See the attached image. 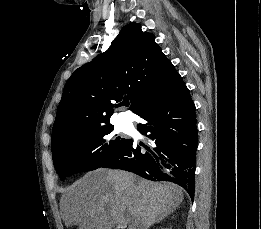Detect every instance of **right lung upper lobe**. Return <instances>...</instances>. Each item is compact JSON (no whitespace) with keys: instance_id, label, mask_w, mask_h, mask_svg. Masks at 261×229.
<instances>
[{"instance_id":"obj_1","label":"right lung upper lobe","mask_w":261,"mask_h":229,"mask_svg":"<svg viewBox=\"0 0 261 229\" xmlns=\"http://www.w3.org/2000/svg\"><path fill=\"white\" fill-rule=\"evenodd\" d=\"M154 35L137 23L124 26L111 47L81 66L68 79L52 129V151L71 128L110 124L116 104L126 98L138 115L179 78Z\"/></svg>"}]
</instances>
